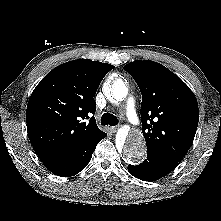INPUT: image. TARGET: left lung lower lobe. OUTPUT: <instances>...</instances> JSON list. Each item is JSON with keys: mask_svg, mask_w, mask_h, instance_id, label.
<instances>
[{"mask_svg": "<svg viewBox=\"0 0 221 221\" xmlns=\"http://www.w3.org/2000/svg\"><path fill=\"white\" fill-rule=\"evenodd\" d=\"M179 161L156 151L148 150L147 159L143 163L128 165V171L134 177L143 181H154L169 174Z\"/></svg>", "mask_w": 221, "mask_h": 221, "instance_id": "1", "label": "left lung lower lobe"}]
</instances>
